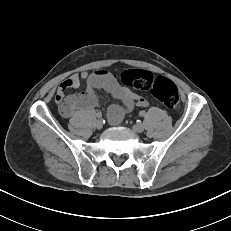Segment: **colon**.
<instances>
[{"mask_svg": "<svg viewBox=\"0 0 231 231\" xmlns=\"http://www.w3.org/2000/svg\"><path fill=\"white\" fill-rule=\"evenodd\" d=\"M120 81L126 86L150 91L168 109L179 108L178 89L173 82L164 77H154L149 71L135 69L121 73Z\"/></svg>", "mask_w": 231, "mask_h": 231, "instance_id": "5ec220e1", "label": "colon"}]
</instances>
